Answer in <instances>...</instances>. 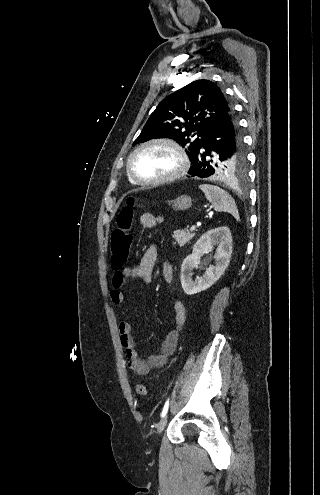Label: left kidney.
Segmentation results:
<instances>
[{
	"mask_svg": "<svg viewBox=\"0 0 320 495\" xmlns=\"http://www.w3.org/2000/svg\"><path fill=\"white\" fill-rule=\"evenodd\" d=\"M217 246L215 263L206 268L202 277L192 279V270L200 263L204 253L211 252ZM232 254V236L228 227H218L202 235L195 243L192 254L187 256L181 266V285L184 292L193 295L210 288L223 275L229 265Z\"/></svg>",
	"mask_w": 320,
	"mask_h": 495,
	"instance_id": "obj_1",
	"label": "left kidney"
}]
</instances>
